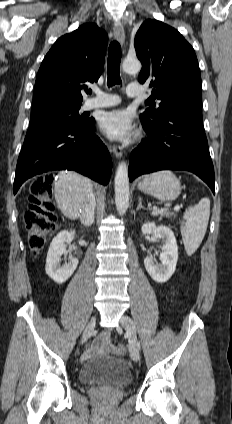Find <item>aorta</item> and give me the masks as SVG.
I'll list each match as a JSON object with an SVG mask.
<instances>
[{
	"mask_svg": "<svg viewBox=\"0 0 232 424\" xmlns=\"http://www.w3.org/2000/svg\"><path fill=\"white\" fill-rule=\"evenodd\" d=\"M141 63L136 58H126L123 61L122 69L127 74H136L141 70ZM129 178L127 165L123 161L118 165L115 175V203L117 213L122 216L129 206Z\"/></svg>",
	"mask_w": 232,
	"mask_h": 424,
	"instance_id": "aorta-1",
	"label": "aorta"
}]
</instances>
